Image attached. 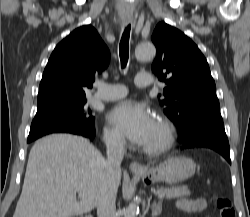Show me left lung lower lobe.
Returning a JSON list of instances; mask_svg holds the SVG:
<instances>
[{"label": "left lung lower lobe", "instance_id": "left-lung-lower-lobe-1", "mask_svg": "<svg viewBox=\"0 0 250 217\" xmlns=\"http://www.w3.org/2000/svg\"><path fill=\"white\" fill-rule=\"evenodd\" d=\"M178 132L181 149L210 148L231 164L229 143L220 110L190 117L188 124Z\"/></svg>", "mask_w": 250, "mask_h": 217}]
</instances>
